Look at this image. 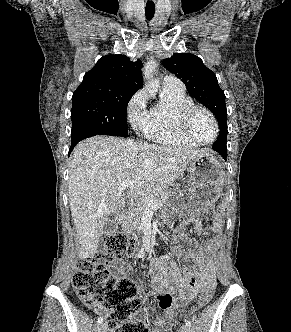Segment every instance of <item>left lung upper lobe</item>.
Here are the masks:
<instances>
[{"label": "left lung upper lobe", "instance_id": "5c2ea615", "mask_svg": "<svg viewBox=\"0 0 291 332\" xmlns=\"http://www.w3.org/2000/svg\"><path fill=\"white\" fill-rule=\"evenodd\" d=\"M163 66L181 79L189 94L215 115L220 129L216 143L226 144L225 94L219 87L214 72L208 69L198 56L190 53H174L171 58L163 60Z\"/></svg>", "mask_w": 291, "mask_h": 332}]
</instances>
